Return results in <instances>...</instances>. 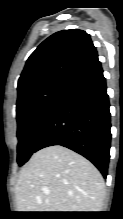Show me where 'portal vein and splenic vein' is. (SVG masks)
<instances>
[{"mask_svg":"<svg viewBox=\"0 0 123 219\" xmlns=\"http://www.w3.org/2000/svg\"><path fill=\"white\" fill-rule=\"evenodd\" d=\"M45 193H46V194H49V191H46Z\"/></svg>","mask_w":123,"mask_h":219,"instance_id":"obj_1","label":"portal vein and splenic vein"}]
</instances>
